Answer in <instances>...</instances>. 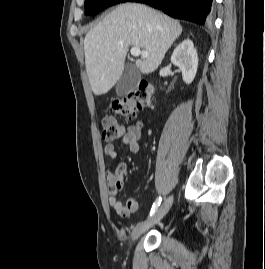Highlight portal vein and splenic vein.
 <instances>
[{"instance_id":"18ae733b","label":"portal vein and splenic vein","mask_w":265,"mask_h":269,"mask_svg":"<svg viewBox=\"0 0 265 269\" xmlns=\"http://www.w3.org/2000/svg\"><path fill=\"white\" fill-rule=\"evenodd\" d=\"M130 52L133 56L141 55L143 58H146L149 55V53L147 51H144V50L141 51L140 48H138V47H132Z\"/></svg>"}]
</instances>
